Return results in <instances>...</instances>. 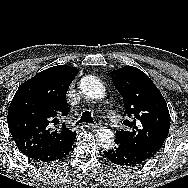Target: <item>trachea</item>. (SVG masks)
Wrapping results in <instances>:
<instances>
[{"label":"trachea","instance_id":"3493384b","mask_svg":"<svg viewBox=\"0 0 188 188\" xmlns=\"http://www.w3.org/2000/svg\"><path fill=\"white\" fill-rule=\"evenodd\" d=\"M82 122H89V123H94L93 122V119L91 117V113L89 111H85L83 114H82V117L81 119L77 122L78 123H82Z\"/></svg>","mask_w":188,"mask_h":188}]
</instances>
